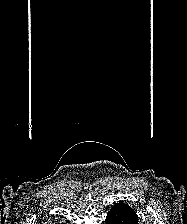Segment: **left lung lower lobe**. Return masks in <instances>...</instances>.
Wrapping results in <instances>:
<instances>
[{"label":"left lung lower lobe","instance_id":"1","mask_svg":"<svg viewBox=\"0 0 187 224\" xmlns=\"http://www.w3.org/2000/svg\"><path fill=\"white\" fill-rule=\"evenodd\" d=\"M107 224H138L136 212L124 202L115 203L107 213Z\"/></svg>","mask_w":187,"mask_h":224}]
</instances>
